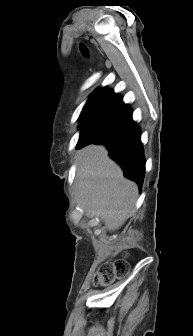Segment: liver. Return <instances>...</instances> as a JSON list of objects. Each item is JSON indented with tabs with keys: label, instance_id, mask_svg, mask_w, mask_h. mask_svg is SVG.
<instances>
[{
	"label": "liver",
	"instance_id": "1",
	"mask_svg": "<svg viewBox=\"0 0 193 336\" xmlns=\"http://www.w3.org/2000/svg\"><path fill=\"white\" fill-rule=\"evenodd\" d=\"M76 192L86 214L100 216L105 228L114 231L127 219L138 196L134 182L123 178L121 168L101 145L79 152Z\"/></svg>",
	"mask_w": 193,
	"mask_h": 336
}]
</instances>
